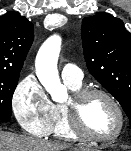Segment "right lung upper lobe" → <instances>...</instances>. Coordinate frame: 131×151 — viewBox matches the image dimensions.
Returning a JSON list of instances; mask_svg holds the SVG:
<instances>
[{
	"mask_svg": "<svg viewBox=\"0 0 131 151\" xmlns=\"http://www.w3.org/2000/svg\"><path fill=\"white\" fill-rule=\"evenodd\" d=\"M33 39L26 17L12 11L0 17V73H20Z\"/></svg>",
	"mask_w": 131,
	"mask_h": 151,
	"instance_id": "right-lung-upper-lobe-1",
	"label": "right lung upper lobe"
}]
</instances>
